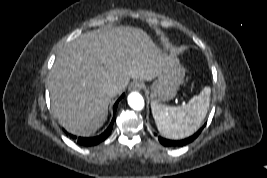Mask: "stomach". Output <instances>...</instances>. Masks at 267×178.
Masks as SVG:
<instances>
[{"instance_id": "stomach-1", "label": "stomach", "mask_w": 267, "mask_h": 178, "mask_svg": "<svg viewBox=\"0 0 267 178\" xmlns=\"http://www.w3.org/2000/svg\"><path fill=\"white\" fill-rule=\"evenodd\" d=\"M185 76V68L177 58L150 84L148 93L152 101H168L177 94Z\"/></svg>"}]
</instances>
